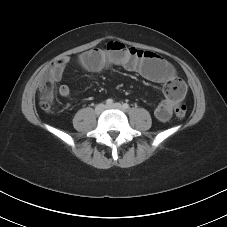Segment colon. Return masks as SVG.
<instances>
[{"instance_id":"colon-1","label":"colon","mask_w":227,"mask_h":227,"mask_svg":"<svg viewBox=\"0 0 227 227\" xmlns=\"http://www.w3.org/2000/svg\"><path fill=\"white\" fill-rule=\"evenodd\" d=\"M61 60L57 61L59 63ZM40 106L45 111H50L53 105V81L47 76L40 83ZM186 106L180 105L175 109V116L178 119H183L186 116Z\"/></svg>"}]
</instances>
